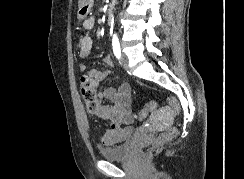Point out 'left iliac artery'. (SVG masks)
<instances>
[{"label": "left iliac artery", "mask_w": 244, "mask_h": 179, "mask_svg": "<svg viewBox=\"0 0 244 179\" xmlns=\"http://www.w3.org/2000/svg\"><path fill=\"white\" fill-rule=\"evenodd\" d=\"M112 46H113V52L116 58L120 59L121 57V49H120V43L117 34H113L112 38Z\"/></svg>", "instance_id": "44dca946"}]
</instances>
